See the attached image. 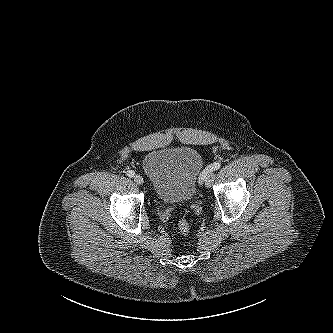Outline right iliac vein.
Returning <instances> with one entry per match:
<instances>
[{"instance_id": "obj_1", "label": "right iliac vein", "mask_w": 333, "mask_h": 333, "mask_svg": "<svg viewBox=\"0 0 333 333\" xmlns=\"http://www.w3.org/2000/svg\"><path fill=\"white\" fill-rule=\"evenodd\" d=\"M134 182L138 185H142L144 183L143 177L141 175L134 176Z\"/></svg>"}]
</instances>
